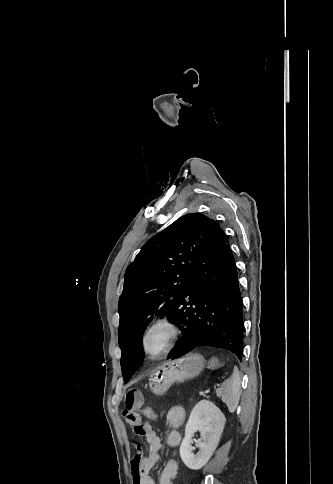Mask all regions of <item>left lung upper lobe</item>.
Segmentation results:
<instances>
[{"label": "left lung upper lobe", "mask_w": 333, "mask_h": 484, "mask_svg": "<svg viewBox=\"0 0 333 484\" xmlns=\"http://www.w3.org/2000/svg\"><path fill=\"white\" fill-rule=\"evenodd\" d=\"M212 221L200 213L180 217L147 241L127 267L118 304L124 382L144 360L142 336L147 325L153 315H167Z\"/></svg>", "instance_id": "obj_1"}]
</instances>
